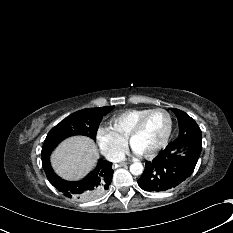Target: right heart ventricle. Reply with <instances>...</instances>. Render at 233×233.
<instances>
[{
  "instance_id": "e07e8e85",
  "label": "right heart ventricle",
  "mask_w": 233,
  "mask_h": 233,
  "mask_svg": "<svg viewBox=\"0 0 233 233\" xmlns=\"http://www.w3.org/2000/svg\"><path fill=\"white\" fill-rule=\"evenodd\" d=\"M149 110L147 108L129 109L116 115L110 120L109 131L123 142H126L133 126Z\"/></svg>"
}]
</instances>
